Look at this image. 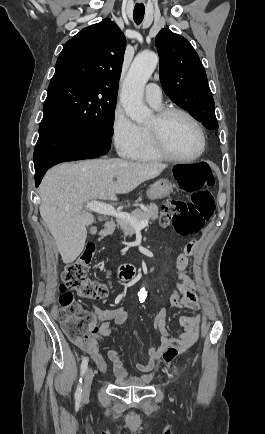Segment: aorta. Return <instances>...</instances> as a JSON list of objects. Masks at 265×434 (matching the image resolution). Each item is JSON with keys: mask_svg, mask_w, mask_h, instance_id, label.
I'll return each mask as SVG.
<instances>
[{"mask_svg": "<svg viewBox=\"0 0 265 434\" xmlns=\"http://www.w3.org/2000/svg\"><path fill=\"white\" fill-rule=\"evenodd\" d=\"M158 56L154 52H142L135 56L131 68L122 84L120 102L129 118L137 124H146L150 120L151 110L144 106V88L152 76Z\"/></svg>", "mask_w": 265, "mask_h": 434, "instance_id": "762f6f07", "label": "aorta"}]
</instances>
